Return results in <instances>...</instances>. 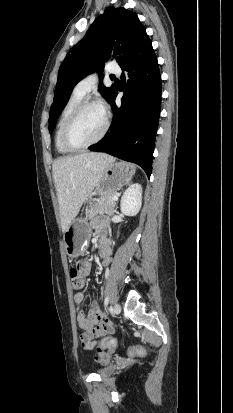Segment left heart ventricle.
<instances>
[{"mask_svg": "<svg viewBox=\"0 0 233 413\" xmlns=\"http://www.w3.org/2000/svg\"><path fill=\"white\" fill-rule=\"evenodd\" d=\"M105 114L99 106L85 108L76 118L69 131V139L75 145L91 142L101 133Z\"/></svg>", "mask_w": 233, "mask_h": 413, "instance_id": "obj_1", "label": "left heart ventricle"}]
</instances>
